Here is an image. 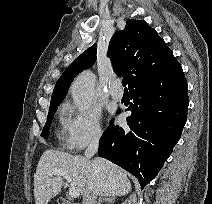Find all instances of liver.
I'll return each instance as SVG.
<instances>
[{
    "label": "liver",
    "instance_id": "liver-1",
    "mask_svg": "<svg viewBox=\"0 0 212 204\" xmlns=\"http://www.w3.org/2000/svg\"><path fill=\"white\" fill-rule=\"evenodd\" d=\"M52 169L67 172L81 196L94 191L101 197L123 196L131 191V183L120 167L110 161L96 157L92 161L58 150L43 152L34 174V198L36 204H48L63 186L61 176L52 177Z\"/></svg>",
    "mask_w": 212,
    "mask_h": 204
}]
</instances>
